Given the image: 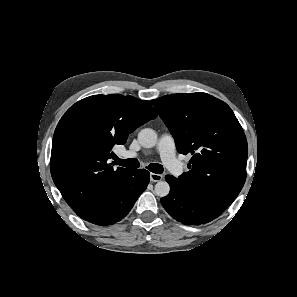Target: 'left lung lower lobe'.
Wrapping results in <instances>:
<instances>
[{
    "label": "left lung lower lobe",
    "mask_w": 297,
    "mask_h": 297,
    "mask_svg": "<svg viewBox=\"0 0 297 297\" xmlns=\"http://www.w3.org/2000/svg\"><path fill=\"white\" fill-rule=\"evenodd\" d=\"M165 178L170 185V192L160 201L174 219L187 225H200L210 222L220 215L189 194L177 181V178L171 175H166Z\"/></svg>",
    "instance_id": "left-lung-lower-lobe-1"
}]
</instances>
